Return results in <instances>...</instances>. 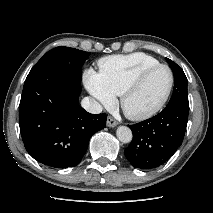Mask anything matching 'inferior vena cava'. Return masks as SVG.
<instances>
[{"mask_svg": "<svg viewBox=\"0 0 213 213\" xmlns=\"http://www.w3.org/2000/svg\"><path fill=\"white\" fill-rule=\"evenodd\" d=\"M81 105L86 111L92 114H99L103 110L102 105L99 102H97L94 98L90 97L83 98Z\"/></svg>", "mask_w": 213, "mask_h": 213, "instance_id": "obj_1", "label": "inferior vena cava"}]
</instances>
